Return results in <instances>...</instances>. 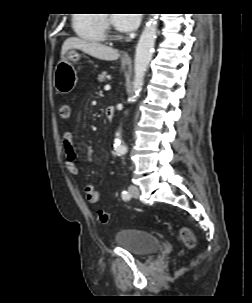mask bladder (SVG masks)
I'll use <instances>...</instances> for the list:
<instances>
[{
	"label": "bladder",
	"instance_id": "1",
	"mask_svg": "<svg viewBox=\"0 0 252 303\" xmlns=\"http://www.w3.org/2000/svg\"><path fill=\"white\" fill-rule=\"evenodd\" d=\"M114 241L131 254L140 257H147L161 248V240L157 236L137 229L119 231Z\"/></svg>",
	"mask_w": 252,
	"mask_h": 303
}]
</instances>
